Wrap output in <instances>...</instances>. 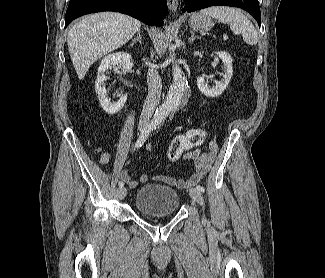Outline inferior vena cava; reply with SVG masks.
I'll return each mask as SVG.
<instances>
[{"mask_svg": "<svg viewBox=\"0 0 325 278\" xmlns=\"http://www.w3.org/2000/svg\"><path fill=\"white\" fill-rule=\"evenodd\" d=\"M147 83L148 95L142 109L140 123H146L151 119L160 101L162 82L159 73L155 69V67L149 68L147 73Z\"/></svg>", "mask_w": 325, "mask_h": 278, "instance_id": "obj_1", "label": "inferior vena cava"}]
</instances>
